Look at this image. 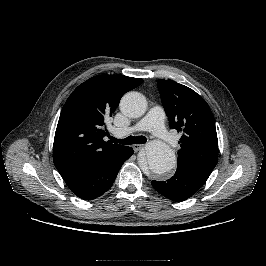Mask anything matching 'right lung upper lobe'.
I'll use <instances>...</instances> for the list:
<instances>
[{"label": "right lung upper lobe", "mask_w": 266, "mask_h": 266, "mask_svg": "<svg viewBox=\"0 0 266 266\" xmlns=\"http://www.w3.org/2000/svg\"><path fill=\"white\" fill-rule=\"evenodd\" d=\"M141 78L97 75L79 85L62 108L53 144V161L60 174L114 156L125 146L106 143L105 122L121 97Z\"/></svg>", "instance_id": "1"}]
</instances>
